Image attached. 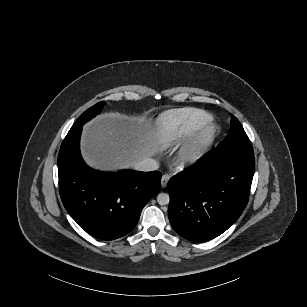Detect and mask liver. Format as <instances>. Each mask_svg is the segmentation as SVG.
I'll use <instances>...</instances> for the list:
<instances>
[{
  "mask_svg": "<svg viewBox=\"0 0 307 307\" xmlns=\"http://www.w3.org/2000/svg\"><path fill=\"white\" fill-rule=\"evenodd\" d=\"M155 109L133 114L111 110L84 125L79 149L85 165L101 173L117 174L161 153V141L149 116Z\"/></svg>",
  "mask_w": 307,
  "mask_h": 307,
  "instance_id": "1",
  "label": "liver"
}]
</instances>
